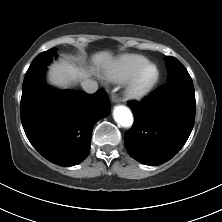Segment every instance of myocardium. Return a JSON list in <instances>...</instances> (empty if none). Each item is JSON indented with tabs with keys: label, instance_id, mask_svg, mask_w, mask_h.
Wrapping results in <instances>:
<instances>
[{
	"label": "myocardium",
	"instance_id": "1",
	"mask_svg": "<svg viewBox=\"0 0 222 222\" xmlns=\"http://www.w3.org/2000/svg\"><path fill=\"white\" fill-rule=\"evenodd\" d=\"M159 79V69L156 64L146 61L127 80L125 95L130 99L145 97Z\"/></svg>",
	"mask_w": 222,
	"mask_h": 222
}]
</instances>
